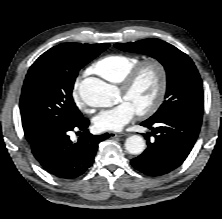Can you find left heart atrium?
<instances>
[{
    "mask_svg": "<svg viewBox=\"0 0 222 219\" xmlns=\"http://www.w3.org/2000/svg\"><path fill=\"white\" fill-rule=\"evenodd\" d=\"M136 109L126 100L115 107L101 111L94 118V125L100 131H120L132 121Z\"/></svg>",
    "mask_w": 222,
    "mask_h": 219,
    "instance_id": "left-heart-atrium-1",
    "label": "left heart atrium"
}]
</instances>
